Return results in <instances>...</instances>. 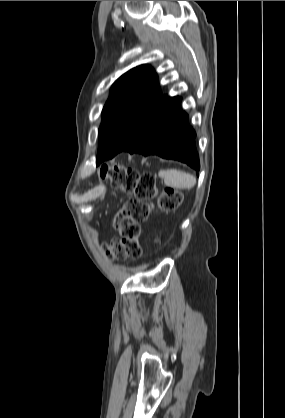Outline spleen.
I'll list each match as a JSON object with an SVG mask.
<instances>
[{"label":"spleen","mask_w":285,"mask_h":418,"mask_svg":"<svg viewBox=\"0 0 285 418\" xmlns=\"http://www.w3.org/2000/svg\"><path fill=\"white\" fill-rule=\"evenodd\" d=\"M158 175L166 185L174 188L191 189L196 184L193 175L177 169L160 170Z\"/></svg>","instance_id":"3e777b00"}]
</instances>
